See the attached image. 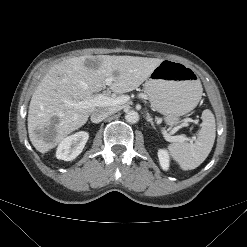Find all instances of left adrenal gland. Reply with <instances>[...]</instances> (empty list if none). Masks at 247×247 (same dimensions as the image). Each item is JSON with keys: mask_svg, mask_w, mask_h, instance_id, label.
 I'll list each match as a JSON object with an SVG mask.
<instances>
[{"mask_svg": "<svg viewBox=\"0 0 247 247\" xmlns=\"http://www.w3.org/2000/svg\"><path fill=\"white\" fill-rule=\"evenodd\" d=\"M146 120L148 122H150V124L152 125V127L155 129V125H154L153 119H152V117L150 116L149 113H147Z\"/></svg>", "mask_w": 247, "mask_h": 247, "instance_id": "left-adrenal-gland-1", "label": "left adrenal gland"}]
</instances>
